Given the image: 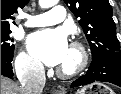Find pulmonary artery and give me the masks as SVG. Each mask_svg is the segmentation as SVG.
<instances>
[{"label": "pulmonary artery", "instance_id": "obj_1", "mask_svg": "<svg viewBox=\"0 0 121 94\" xmlns=\"http://www.w3.org/2000/svg\"><path fill=\"white\" fill-rule=\"evenodd\" d=\"M27 22L25 25L27 27H41L54 25L62 22L66 17V9L63 6H54L49 12L37 14V15H27Z\"/></svg>", "mask_w": 121, "mask_h": 94}]
</instances>
